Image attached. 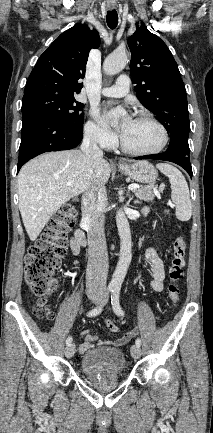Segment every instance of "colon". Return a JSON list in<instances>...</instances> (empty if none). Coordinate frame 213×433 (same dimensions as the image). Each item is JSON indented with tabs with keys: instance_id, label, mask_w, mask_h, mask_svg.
Masks as SVG:
<instances>
[{
	"instance_id": "5ec220e1",
	"label": "colon",
	"mask_w": 213,
	"mask_h": 433,
	"mask_svg": "<svg viewBox=\"0 0 213 433\" xmlns=\"http://www.w3.org/2000/svg\"><path fill=\"white\" fill-rule=\"evenodd\" d=\"M74 204H64L53 215L40 238L29 247L25 257V281L31 293L38 297L34 314L40 319H52L53 312L47 298L55 291V273L59 269L67 251V233L75 221ZM186 241L178 236L172 243V255L168 270V297L177 304L180 297V281L184 276ZM107 329L115 333L117 324L108 320Z\"/></svg>"
}]
</instances>
